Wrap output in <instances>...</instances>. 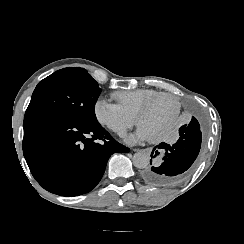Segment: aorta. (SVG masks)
I'll use <instances>...</instances> for the list:
<instances>
[{
	"label": "aorta",
	"mask_w": 244,
	"mask_h": 244,
	"mask_svg": "<svg viewBox=\"0 0 244 244\" xmlns=\"http://www.w3.org/2000/svg\"><path fill=\"white\" fill-rule=\"evenodd\" d=\"M149 155L144 152H137L133 155V165L139 169H144L149 164Z\"/></svg>",
	"instance_id": "obj_1"
}]
</instances>
